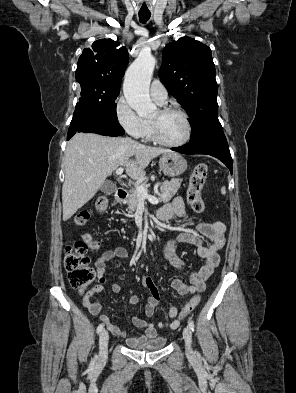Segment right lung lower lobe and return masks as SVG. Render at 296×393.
Masks as SVG:
<instances>
[{"instance_id": "right-lung-lower-lobe-1", "label": "right lung lower lobe", "mask_w": 296, "mask_h": 393, "mask_svg": "<svg viewBox=\"0 0 296 393\" xmlns=\"http://www.w3.org/2000/svg\"><path fill=\"white\" fill-rule=\"evenodd\" d=\"M77 132L106 136H121L125 133L118 120L106 118L86 108H75L67 139L69 140Z\"/></svg>"}]
</instances>
